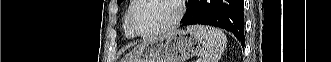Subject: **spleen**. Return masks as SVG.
I'll return each mask as SVG.
<instances>
[{
  "mask_svg": "<svg viewBox=\"0 0 331 62\" xmlns=\"http://www.w3.org/2000/svg\"><path fill=\"white\" fill-rule=\"evenodd\" d=\"M187 31L197 37L202 47L200 49L201 62H218L226 47L225 34L213 27L193 25L188 26Z\"/></svg>",
  "mask_w": 331,
  "mask_h": 62,
  "instance_id": "3e777b00",
  "label": "spleen"
}]
</instances>
